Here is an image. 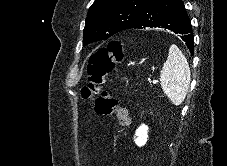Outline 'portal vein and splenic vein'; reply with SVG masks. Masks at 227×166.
Returning a JSON list of instances; mask_svg holds the SVG:
<instances>
[{
	"label": "portal vein and splenic vein",
	"mask_w": 227,
	"mask_h": 166,
	"mask_svg": "<svg viewBox=\"0 0 227 166\" xmlns=\"http://www.w3.org/2000/svg\"><path fill=\"white\" fill-rule=\"evenodd\" d=\"M152 83L156 84V83H158V80H153Z\"/></svg>",
	"instance_id": "portal-vein-and-splenic-vein-1"
}]
</instances>
